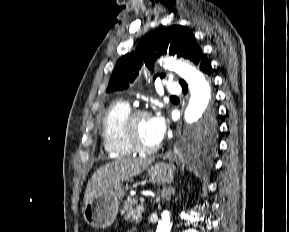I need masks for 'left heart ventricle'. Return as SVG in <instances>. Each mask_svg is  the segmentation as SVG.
Here are the masks:
<instances>
[{
  "instance_id": "1",
  "label": "left heart ventricle",
  "mask_w": 289,
  "mask_h": 232,
  "mask_svg": "<svg viewBox=\"0 0 289 232\" xmlns=\"http://www.w3.org/2000/svg\"><path fill=\"white\" fill-rule=\"evenodd\" d=\"M135 133L138 140L145 146H155V142L151 129V117H140L135 122Z\"/></svg>"
}]
</instances>
